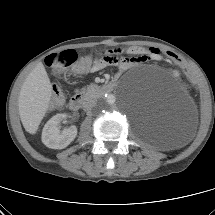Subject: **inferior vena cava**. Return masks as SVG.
<instances>
[{"label": "inferior vena cava", "mask_w": 215, "mask_h": 215, "mask_svg": "<svg viewBox=\"0 0 215 215\" xmlns=\"http://www.w3.org/2000/svg\"><path fill=\"white\" fill-rule=\"evenodd\" d=\"M96 106V102L94 100L86 102L83 106L85 111H90L93 107Z\"/></svg>", "instance_id": "1"}]
</instances>
